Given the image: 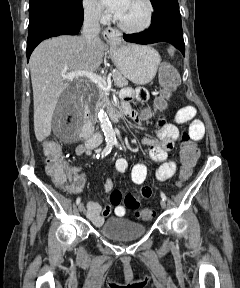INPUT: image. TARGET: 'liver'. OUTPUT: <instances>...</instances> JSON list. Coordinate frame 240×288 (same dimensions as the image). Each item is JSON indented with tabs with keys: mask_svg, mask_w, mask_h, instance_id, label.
Listing matches in <instances>:
<instances>
[{
	"mask_svg": "<svg viewBox=\"0 0 240 288\" xmlns=\"http://www.w3.org/2000/svg\"><path fill=\"white\" fill-rule=\"evenodd\" d=\"M106 46L100 40L87 47L82 36L63 35L41 42L33 51L29 65L33 88L34 131L38 141L51 134L57 102L69 86L62 75L73 71H96Z\"/></svg>",
	"mask_w": 240,
	"mask_h": 288,
	"instance_id": "1",
	"label": "liver"
}]
</instances>
